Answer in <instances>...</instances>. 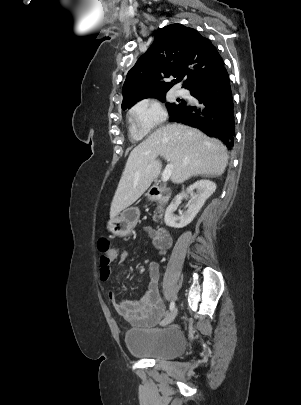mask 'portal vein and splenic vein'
<instances>
[{"instance_id":"1","label":"portal vein and splenic vein","mask_w":301,"mask_h":405,"mask_svg":"<svg viewBox=\"0 0 301 405\" xmlns=\"http://www.w3.org/2000/svg\"><path fill=\"white\" fill-rule=\"evenodd\" d=\"M172 169H173V166H172L171 164H168V165L165 167V169H164V171H163V173H162V181H163V182L168 181V179L170 178V176H171V174H172Z\"/></svg>"}]
</instances>
